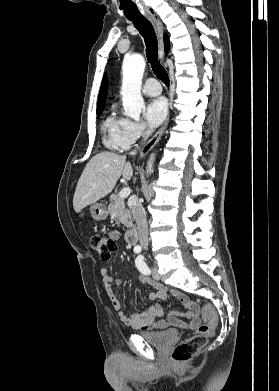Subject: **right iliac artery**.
Segmentation results:
<instances>
[{"label":"right iliac artery","mask_w":279,"mask_h":391,"mask_svg":"<svg viewBox=\"0 0 279 391\" xmlns=\"http://www.w3.org/2000/svg\"><path fill=\"white\" fill-rule=\"evenodd\" d=\"M134 252L135 253H140L141 252V248L140 247H135L134 248Z\"/></svg>","instance_id":"82829eb1"}]
</instances>
